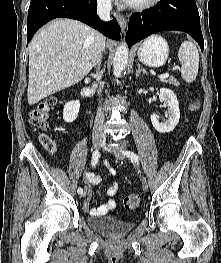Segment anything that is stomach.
Listing matches in <instances>:
<instances>
[{
	"instance_id": "1",
	"label": "stomach",
	"mask_w": 221,
	"mask_h": 263,
	"mask_svg": "<svg viewBox=\"0 0 221 263\" xmlns=\"http://www.w3.org/2000/svg\"><path fill=\"white\" fill-rule=\"evenodd\" d=\"M139 60L150 67H161L165 64L169 55L167 42L158 35L146 39L138 49Z\"/></svg>"
}]
</instances>
